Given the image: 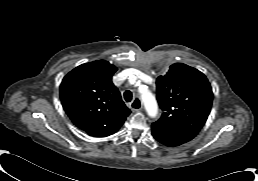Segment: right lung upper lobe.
I'll list each match as a JSON object with an SVG mask.
<instances>
[{
	"instance_id": "obj_1",
	"label": "right lung upper lobe",
	"mask_w": 258,
	"mask_h": 181,
	"mask_svg": "<svg viewBox=\"0 0 258 181\" xmlns=\"http://www.w3.org/2000/svg\"><path fill=\"white\" fill-rule=\"evenodd\" d=\"M116 70L105 60L82 64L60 85L65 112L77 127L92 136L120 127L131 112L112 83Z\"/></svg>"
}]
</instances>
